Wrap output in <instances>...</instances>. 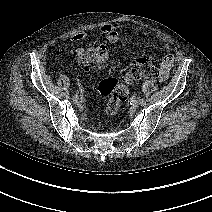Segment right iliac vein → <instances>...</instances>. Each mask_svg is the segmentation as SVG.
Instances as JSON below:
<instances>
[{
	"mask_svg": "<svg viewBox=\"0 0 212 212\" xmlns=\"http://www.w3.org/2000/svg\"><path fill=\"white\" fill-rule=\"evenodd\" d=\"M72 99H73V101L77 102V101L79 100V96H78V95H74V96L72 97Z\"/></svg>",
	"mask_w": 212,
	"mask_h": 212,
	"instance_id": "right-iliac-vein-1",
	"label": "right iliac vein"
}]
</instances>
